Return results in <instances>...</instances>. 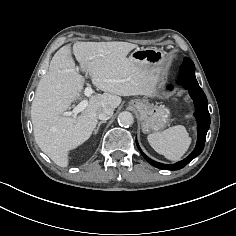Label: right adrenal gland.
I'll list each match as a JSON object with an SVG mask.
<instances>
[{
  "label": "right adrenal gland",
  "instance_id": "right-adrenal-gland-1",
  "mask_svg": "<svg viewBox=\"0 0 236 236\" xmlns=\"http://www.w3.org/2000/svg\"><path fill=\"white\" fill-rule=\"evenodd\" d=\"M106 122H107L106 120L100 121V122L98 123L97 128L94 130V134H97V132L99 131V128H100L101 124L106 123Z\"/></svg>",
  "mask_w": 236,
  "mask_h": 236
}]
</instances>
